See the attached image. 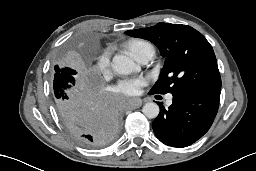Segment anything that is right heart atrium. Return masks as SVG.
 Listing matches in <instances>:
<instances>
[{"label": "right heart atrium", "mask_w": 256, "mask_h": 171, "mask_svg": "<svg viewBox=\"0 0 256 171\" xmlns=\"http://www.w3.org/2000/svg\"><path fill=\"white\" fill-rule=\"evenodd\" d=\"M95 69L102 75H106L110 69V57L107 51L103 52L95 63Z\"/></svg>", "instance_id": "d8ad5b80"}]
</instances>
